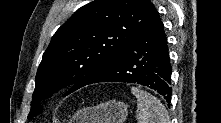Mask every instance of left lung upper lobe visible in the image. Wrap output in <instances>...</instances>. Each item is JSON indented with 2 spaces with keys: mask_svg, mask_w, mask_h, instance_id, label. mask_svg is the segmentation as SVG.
<instances>
[{
  "mask_svg": "<svg viewBox=\"0 0 221 123\" xmlns=\"http://www.w3.org/2000/svg\"><path fill=\"white\" fill-rule=\"evenodd\" d=\"M150 0H95L79 8L53 35L35 78L28 118L42 110L39 103L59 89L85 85L116 59L153 20Z\"/></svg>",
  "mask_w": 221,
  "mask_h": 123,
  "instance_id": "5c2ea615",
  "label": "left lung upper lobe"
}]
</instances>
